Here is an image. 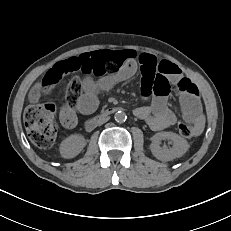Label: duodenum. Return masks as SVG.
<instances>
[{
	"mask_svg": "<svg viewBox=\"0 0 231 231\" xmlns=\"http://www.w3.org/2000/svg\"><path fill=\"white\" fill-rule=\"evenodd\" d=\"M119 109L120 108L116 107V106H109V107L105 108L102 112L93 116L92 118L88 119L85 122V124H84L85 129L87 131L93 130L95 127H97L99 125V122H101V118H103L105 116H111L112 114L119 111Z\"/></svg>",
	"mask_w": 231,
	"mask_h": 231,
	"instance_id": "duodenum-1",
	"label": "duodenum"
}]
</instances>
